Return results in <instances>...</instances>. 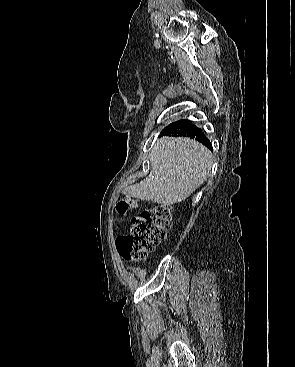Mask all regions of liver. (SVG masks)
Wrapping results in <instances>:
<instances>
[{"instance_id":"obj_1","label":"liver","mask_w":295,"mask_h":367,"mask_svg":"<svg viewBox=\"0 0 295 367\" xmlns=\"http://www.w3.org/2000/svg\"><path fill=\"white\" fill-rule=\"evenodd\" d=\"M151 171L126 192L135 198L169 206L186 199L210 175L212 153L189 138L163 137L149 155Z\"/></svg>"}]
</instances>
